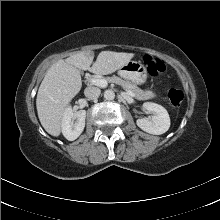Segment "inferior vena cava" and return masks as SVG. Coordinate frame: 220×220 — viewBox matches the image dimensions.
I'll return each mask as SVG.
<instances>
[{
    "mask_svg": "<svg viewBox=\"0 0 220 220\" xmlns=\"http://www.w3.org/2000/svg\"><path fill=\"white\" fill-rule=\"evenodd\" d=\"M100 89L97 87H87L84 94L88 100H96L100 96Z\"/></svg>",
    "mask_w": 220,
    "mask_h": 220,
    "instance_id": "inferior-vena-cava-1",
    "label": "inferior vena cava"
}]
</instances>
